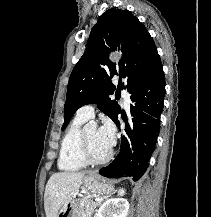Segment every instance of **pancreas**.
Listing matches in <instances>:
<instances>
[{
    "label": "pancreas",
    "instance_id": "1",
    "mask_svg": "<svg viewBox=\"0 0 211 217\" xmlns=\"http://www.w3.org/2000/svg\"><path fill=\"white\" fill-rule=\"evenodd\" d=\"M100 202L93 201L90 197L79 200L78 217H91Z\"/></svg>",
    "mask_w": 211,
    "mask_h": 217
}]
</instances>
